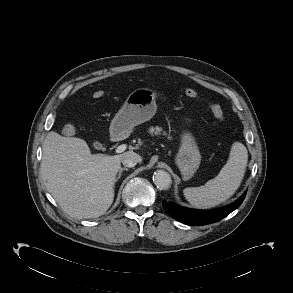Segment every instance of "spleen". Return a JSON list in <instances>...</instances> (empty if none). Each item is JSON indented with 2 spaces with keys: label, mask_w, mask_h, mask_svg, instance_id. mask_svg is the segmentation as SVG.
I'll return each mask as SVG.
<instances>
[{
  "label": "spleen",
  "mask_w": 293,
  "mask_h": 293,
  "mask_svg": "<svg viewBox=\"0 0 293 293\" xmlns=\"http://www.w3.org/2000/svg\"><path fill=\"white\" fill-rule=\"evenodd\" d=\"M247 162L246 147L240 142L233 143L229 159L219 174L204 186L185 188V198L197 208H210L225 202L240 187Z\"/></svg>",
  "instance_id": "spleen-1"
}]
</instances>
